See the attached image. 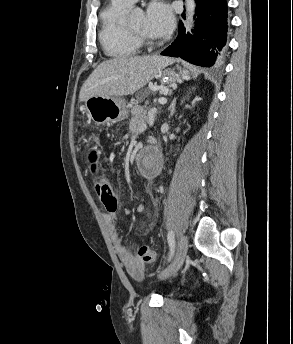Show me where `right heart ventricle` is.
<instances>
[{
  "mask_svg": "<svg viewBox=\"0 0 293 344\" xmlns=\"http://www.w3.org/2000/svg\"><path fill=\"white\" fill-rule=\"evenodd\" d=\"M129 7L111 0L100 13L99 40L110 57H133L140 53V44L127 33L122 21Z\"/></svg>",
  "mask_w": 293,
  "mask_h": 344,
  "instance_id": "right-heart-ventricle-1",
  "label": "right heart ventricle"
}]
</instances>
